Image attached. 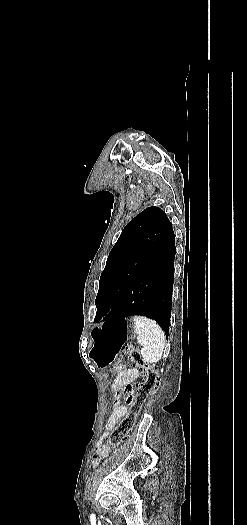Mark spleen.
Here are the masks:
<instances>
[{
  "label": "spleen",
  "mask_w": 247,
  "mask_h": 525,
  "mask_svg": "<svg viewBox=\"0 0 247 525\" xmlns=\"http://www.w3.org/2000/svg\"><path fill=\"white\" fill-rule=\"evenodd\" d=\"M133 319L137 341L142 345L140 353L146 363L155 365L163 355L165 335L156 321H151L147 317H133Z\"/></svg>",
  "instance_id": "obj_1"
}]
</instances>
